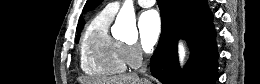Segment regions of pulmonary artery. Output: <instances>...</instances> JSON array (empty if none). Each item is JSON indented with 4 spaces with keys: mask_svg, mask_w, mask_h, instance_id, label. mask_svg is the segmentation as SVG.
<instances>
[{
    "mask_svg": "<svg viewBox=\"0 0 260 84\" xmlns=\"http://www.w3.org/2000/svg\"><path fill=\"white\" fill-rule=\"evenodd\" d=\"M137 3L141 6V7H151L155 4L154 0H138ZM123 2H111L109 4H107V6L105 7V11L108 12L109 14L115 15L118 10L122 7Z\"/></svg>",
    "mask_w": 260,
    "mask_h": 84,
    "instance_id": "1",
    "label": "pulmonary artery"
}]
</instances>
